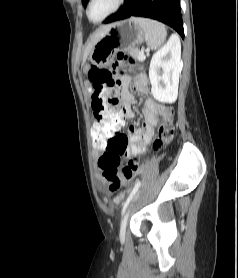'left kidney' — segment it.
Instances as JSON below:
<instances>
[{
  "label": "left kidney",
  "mask_w": 238,
  "mask_h": 278,
  "mask_svg": "<svg viewBox=\"0 0 238 278\" xmlns=\"http://www.w3.org/2000/svg\"><path fill=\"white\" fill-rule=\"evenodd\" d=\"M181 44L177 36L169 41L152 57L149 68L151 93L162 103H173L177 99L181 71Z\"/></svg>",
  "instance_id": "obj_1"
}]
</instances>
